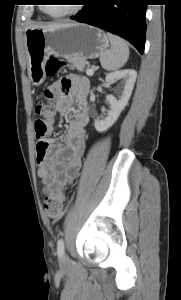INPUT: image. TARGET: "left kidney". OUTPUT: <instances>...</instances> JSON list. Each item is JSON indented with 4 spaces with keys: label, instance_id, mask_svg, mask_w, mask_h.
Listing matches in <instances>:
<instances>
[{
    "label": "left kidney",
    "instance_id": "left-kidney-1",
    "mask_svg": "<svg viewBox=\"0 0 181 300\" xmlns=\"http://www.w3.org/2000/svg\"><path fill=\"white\" fill-rule=\"evenodd\" d=\"M136 76L137 73L133 69L116 71L113 73H109L106 76V83L110 84L114 81L120 80V83L123 87L120 92L119 100H117V98L113 95H106V101L109 104V110L105 118L101 117V119L95 120L94 126L98 132L106 131L116 122L120 113L125 108L130 99L136 81Z\"/></svg>",
    "mask_w": 181,
    "mask_h": 300
}]
</instances>
